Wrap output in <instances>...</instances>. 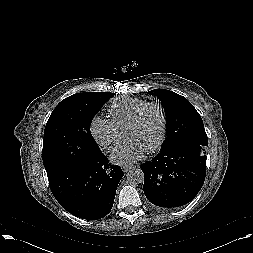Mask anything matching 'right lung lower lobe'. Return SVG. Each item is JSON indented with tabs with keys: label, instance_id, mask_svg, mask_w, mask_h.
<instances>
[{
	"label": "right lung lower lobe",
	"instance_id": "obj_1",
	"mask_svg": "<svg viewBox=\"0 0 253 253\" xmlns=\"http://www.w3.org/2000/svg\"><path fill=\"white\" fill-rule=\"evenodd\" d=\"M124 173L100 152L88 161L47 171L51 191L72 215L88 220L105 217L112 209Z\"/></svg>",
	"mask_w": 253,
	"mask_h": 253
}]
</instances>
